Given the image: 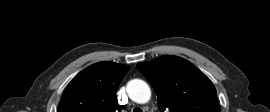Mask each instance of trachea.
Returning <instances> with one entry per match:
<instances>
[{"label": "trachea", "instance_id": "3493384b", "mask_svg": "<svg viewBox=\"0 0 270 112\" xmlns=\"http://www.w3.org/2000/svg\"><path fill=\"white\" fill-rule=\"evenodd\" d=\"M133 112H143V110L139 107L134 108Z\"/></svg>", "mask_w": 270, "mask_h": 112}]
</instances>
